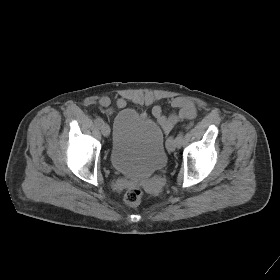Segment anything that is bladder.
<instances>
[{
	"instance_id": "bladder-1",
	"label": "bladder",
	"mask_w": 280,
	"mask_h": 280,
	"mask_svg": "<svg viewBox=\"0 0 280 280\" xmlns=\"http://www.w3.org/2000/svg\"><path fill=\"white\" fill-rule=\"evenodd\" d=\"M109 158L116 171L133 179L162 170L167 162L162 127L133 109L121 110L113 122Z\"/></svg>"
}]
</instances>
